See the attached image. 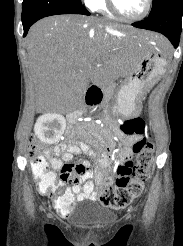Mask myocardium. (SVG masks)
<instances>
[{"instance_id":"obj_1","label":"myocardium","mask_w":183,"mask_h":246,"mask_svg":"<svg viewBox=\"0 0 183 246\" xmlns=\"http://www.w3.org/2000/svg\"><path fill=\"white\" fill-rule=\"evenodd\" d=\"M106 3H107L109 10L111 11V13L115 17H117L118 19L126 21V22H136V21H140V20L144 19L149 14L151 7H152L153 0H146V6H145L143 12L137 16H134V17H128V16L123 15L119 11L115 0H106Z\"/></svg>"}]
</instances>
